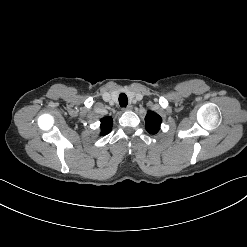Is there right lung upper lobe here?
I'll return each mask as SVG.
<instances>
[{
    "label": "right lung upper lobe",
    "instance_id": "1",
    "mask_svg": "<svg viewBox=\"0 0 247 247\" xmlns=\"http://www.w3.org/2000/svg\"><path fill=\"white\" fill-rule=\"evenodd\" d=\"M112 122L113 120L111 117H104L101 119V135H105L111 132Z\"/></svg>",
    "mask_w": 247,
    "mask_h": 247
}]
</instances>
